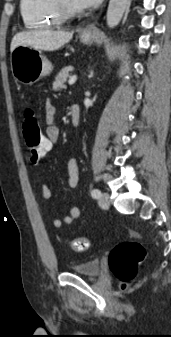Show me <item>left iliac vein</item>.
<instances>
[{
  "instance_id": "left-iliac-vein-1",
  "label": "left iliac vein",
  "mask_w": 171,
  "mask_h": 337,
  "mask_svg": "<svg viewBox=\"0 0 171 337\" xmlns=\"http://www.w3.org/2000/svg\"><path fill=\"white\" fill-rule=\"evenodd\" d=\"M110 205L109 194L104 192L99 198V206L103 209H108Z\"/></svg>"
}]
</instances>
